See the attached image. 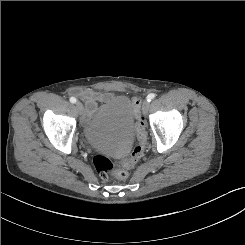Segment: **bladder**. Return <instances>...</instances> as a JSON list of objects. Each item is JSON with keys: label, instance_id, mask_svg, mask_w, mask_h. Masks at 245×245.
Listing matches in <instances>:
<instances>
[{"label": "bladder", "instance_id": "bladder-1", "mask_svg": "<svg viewBox=\"0 0 245 245\" xmlns=\"http://www.w3.org/2000/svg\"><path fill=\"white\" fill-rule=\"evenodd\" d=\"M134 109L125 95L117 96L100 107L84 124L87 143L112 155L126 154L133 143Z\"/></svg>", "mask_w": 245, "mask_h": 245}]
</instances>
